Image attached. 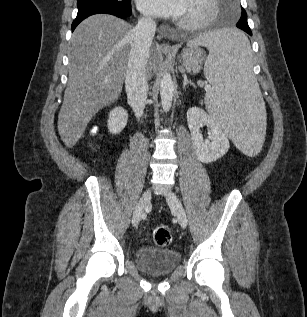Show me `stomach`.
<instances>
[{"label":"stomach","mask_w":307,"mask_h":317,"mask_svg":"<svg viewBox=\"0 0 307 317\" xmlns=\"http://www.w3.org/2000/svg\"><path fill=\"white\" fill-rule=\"evenodd\" d=\"M205 60L204 52L197 47L185 49L180 55V63L187 73L197 74Z\"/></svg>","instance_id":"0dacf381"}]
</instances>
